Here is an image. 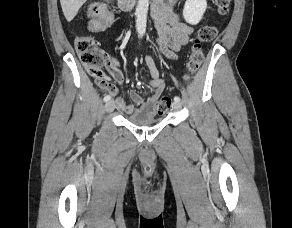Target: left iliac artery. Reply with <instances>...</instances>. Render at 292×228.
I'll return each instance as SVG.
<instances>
[{"mask_svg": "<svg viewBox=\"0 0 292 228\" xmlns=\"http://www.w3.org/2000/svg\"><path fill=\"white\" fill-rule=\"evenodd\" d=\"M174 101L179 102L180 101V97L179 96H175L174 97Z\"/></svg>", "mask_w": 292, "mask_h": 228, "instance_id": "left-iliac-artery-1", "label": "left iliac artery"}]
</instances>
